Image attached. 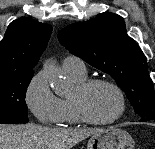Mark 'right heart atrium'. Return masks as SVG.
<instances>
[{
  "label": "right heart atrium",
  "mask_w": 155,
  "mask_h": 149,
  "mask_svg": "<svg viewBox=\"0 0 155 149\" xmlns=\"http://www.w3.org/2000/svg\"><path fill=\"white\" fill-rule=\"evenodd\" d=\"M28 109L43 124H58L62 119L61 99L50 89L44 72L33 76L25 91Z\"/></svg>",
  "instance_id": "1"
}]
</instances>
